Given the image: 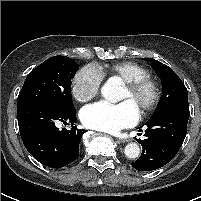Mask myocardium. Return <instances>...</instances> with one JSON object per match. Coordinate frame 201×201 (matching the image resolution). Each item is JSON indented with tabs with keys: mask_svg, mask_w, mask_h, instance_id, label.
Masks as SVG:
<instances>
[{
	"mask_svg": "<svg viewBox=\"0 0 201 201\" xmlns=\"http://www.w3.org/2000/svg\"><path fill=\"white\" fill-rule=\"evenodd\" d=\"M124 85L131 94H137L144 89H147L150 92L148 101L139 110V116H146L157 107L160 100L161 90L156 80L147 76L126 81L124 82Z\"/></svg>",
	"mask_w": 201,
	"mask_h": 201,
	"instance_id": "f54148a6",
	"label": "myocardium"
}]
</instances>
